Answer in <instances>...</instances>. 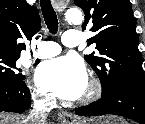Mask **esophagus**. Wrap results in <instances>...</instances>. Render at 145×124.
Wrapping results in <instances>:
<instances>
[{
  "label": "esophagus",
  "mask_w": 145,
  "mask_h": 124,
  "mask_svg": "<svg viewBox=\"0 0 145 124\" xmlns=\"http://www.w3.org/2000/svg\"><path fill=\"white\" fill-rule=\"evenodd\" d=\"M58 117L63 124H74L76 122L73 114L66 111H60Z\"/></svg>",
  "instance_id": "34e87169"
}]
</instances>
